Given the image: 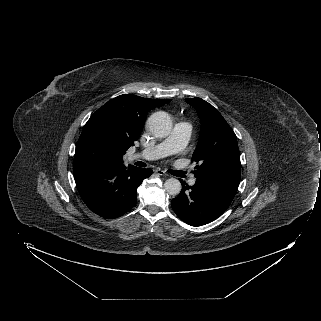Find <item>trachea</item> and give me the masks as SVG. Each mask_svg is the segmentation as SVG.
<instances>
[{"label":"trachea","mask_w":321,"mask_h":321,"mask_svg":"<svg viewBox=\"0 0 321 321\" xmlns=\"http://www.w3.org/2000/svg\"><path fill=\"white\" fill-rule=\"evenodd\" d=\"M137 165H138V166H141V167H145V166H146V165H145L144 163H142V162H139Z\"/></svg>","instance_id":"trachea-1"}]
</instances>
